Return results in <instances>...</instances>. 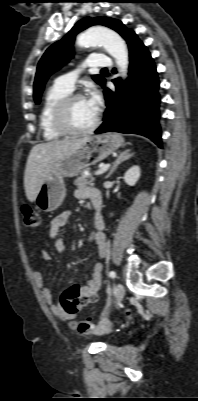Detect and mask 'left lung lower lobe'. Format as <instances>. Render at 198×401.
<instances>
[{"label": "left lung lower lobe", "mask_w": 198, "mask_h": 401, "mask_svg": "<svg viewBox=\"0 0 198 401\" xmlns=\"http://www.w3.org/2000/svg\"><path fill=\"white\" fill-rule=\"evenodd\" d=\"M130 57L129 77L123 83L114 79L116 91L104 89L107 109L96 134L105 132L144 135L161 147L158 124L159 81L147 47L134 31L125 38Z\"/></svg>", "instance_id": "0a47b994"}]
</instances>
